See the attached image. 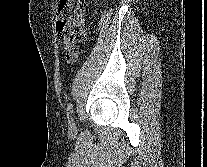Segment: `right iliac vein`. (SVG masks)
Masks as SVG:
<instances>
[{
  "label": "right iliac vein",
  "instance_id": "obj_1",
  "mask_svg": "<svg viewBox=\"0 0 207 167\" xmlns=\"http://www.w3.org/2000/svg\"><path fill=\"white\" fill-rule=\"evenodd\" d=\"M75 129H76V125H75L73 117H71V119L69 120V130L71 132H74Z\"/></svg>",
  "mask_w": 207,
  "mask_h": 167
}]
</instances>
